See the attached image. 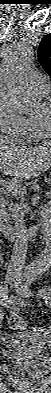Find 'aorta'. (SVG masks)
I'll use <instances>...</instances> for the list:
<instances>
[{"instance_id": "obj_1", "label": "aorta", "mask_w": 51, "mask_h": 393, "mask_svg": "<svg viewBox=\"0 0 51 393\" xmlns=\"http://www.w3.org/2000/svg\"><path fill=\"white\" fill-rule=\"evenodd\" d=\"M32 51L26 45L16 46L1 66V92L10 106L19 113H33L41 108V101L28 78L32 66ZM43 243L51 245L50 227L41 225ZM51 264V252L42 250L41 254L29 265V274L37 276L45 272Z\"/></svg>"}]
</instances>
